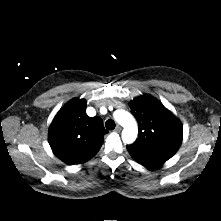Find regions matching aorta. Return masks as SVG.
<instances>
[{
    "label": "aorta",
    "mask_w": 221,
    "mask_h": 221,
    "mask_svg": "<svg viewBox=\"0 0 221 221\" xmlns=\"http://www.w3.org/2000/svg\"><path fill=\"white\" fill-rule=\"evenodd\" d=\"M115 120L123 127L122 140L124 143H133L138 134V127L134 117L125 110H117Z\"/></svg>",
    "instance_id": "aorta-1"
}]
</instances>
